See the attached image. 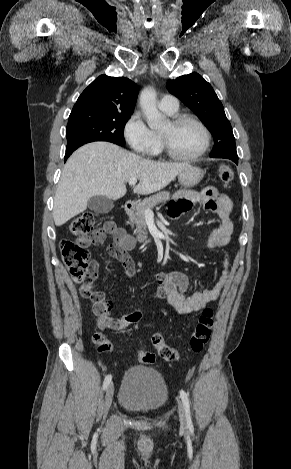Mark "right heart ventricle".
<instances>
[{
  "label": "right heart ventricle",
  "mask_w": 291,
  "mask_h": 469,
  "mask_svg": "<svg viewBox=\"0 0 291 469\" xmlns=\"http://www.w3.org/2000/svg\"><path fill=\"white\" fill-rule=\"evenodd\" d=\"M164 112L168 115H174L176 113V112L170 113V112H166V111H164ZM155 135H156L157 142H156V146H155L153 152L151 153V155L152 156H159L162 152L161 140H160V135H158L156 133H155Z\"/></svg>",
  "instance_id": "right-heart-ventricle-1"
}]
</instances>
